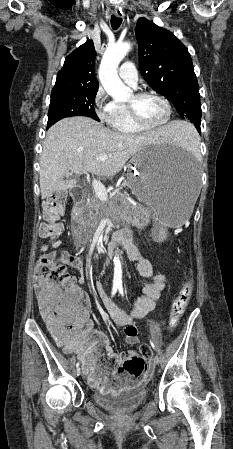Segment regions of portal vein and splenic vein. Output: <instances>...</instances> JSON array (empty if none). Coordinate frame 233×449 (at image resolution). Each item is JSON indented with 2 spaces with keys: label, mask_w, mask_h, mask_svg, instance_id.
Returning <instances> with one entry per match:
<instances>
[{
  "label": "portal vein and splenic vein",
  "mask_w": 233,
  "mask_h": 449,
  "mask_svg": "<svg viewBox=\"0 0 233 449\" xmlns=\"http://www.w3.org/2000/svg\"><path fill=\"white\" fill-rule=\"evenodd\" d=\"M108 158H109V155L103 154V155L96 156L95 160L96 161H105ZM92 186H93L95 194L98 196V198L102 202H107L108 201V194H107L105 186L100 181L95 180V179L92 181Z\"/></svg>",
  "instance_id": "1"
}]
</instances>
